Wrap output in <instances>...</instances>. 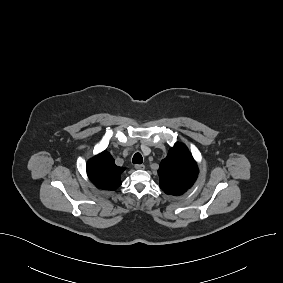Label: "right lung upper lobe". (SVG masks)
Segmentation results:
<instances>
[{"instance_id":"cb5924a9","label":"right lung upper lobe","mask_w":283,"mask_h":283,"mask_svg":"<svg viewBox=\"0 0 283 283\" xmlns=\"http://www.w3.org/2000/svg\"><path fill=\"white\" fill-rule=\"evenodd\" d=\"M125 170L115 164L113 157L106 150L90 159L87 174L91 182L104 190H115L121 185L120 176Z\"/></svg>"}]
</instances>
